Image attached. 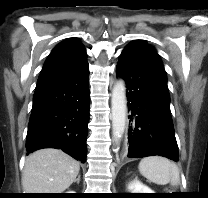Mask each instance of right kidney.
I'll list each match as a JSON object with an SVG mask.
<instances>
[{"label":"right kidney","mask_w":208,"mask_h":198,"mask_svg":"<svg viewBox=\"0 0 208 198\" xmlns=\"http://www.w3.org/2000/svg\"><path fill=\"white\" fill-rule=\"evenodd\" d=\"M67 193H75L74 191H68Z\"/></svg>","instance_id":"ca27d5eb"}]
</instances>
